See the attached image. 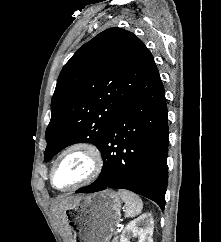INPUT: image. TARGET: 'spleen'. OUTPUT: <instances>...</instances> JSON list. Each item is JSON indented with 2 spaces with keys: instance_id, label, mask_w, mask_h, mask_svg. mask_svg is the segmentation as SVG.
I'll return each instance as SVG.
<instances>
[{
  "instance_id": "obj_1",
  "label": "spleen",
  "mask_w": 221,
  "mask_h": 242,
  "mask_svg": "<svg viewBox=\"0 0 221 242\" xmlns=\"http://www.w3.org/2000/svg\"><path fill=\"white\" fill-rule=\"evenodd\" d=\"M118 194L126 204V217H135L136 215L141 213L143 208V202L138 195L126 190H119Z\"/></svg>"
}]
</instances>
